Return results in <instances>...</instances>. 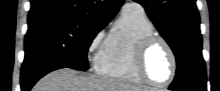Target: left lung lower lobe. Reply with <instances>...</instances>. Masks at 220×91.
I'll list each match as a JSON object with an SVG mask.
<instances>
[{"label":"left lung lower lobe","instance_id":"obj_1","mask_svg":"<svg viewBox=\"0 0 220 91\" xmlns=\"http://www.w3.org/2000/svg\"><path fill=\"white\" fill-rule=\"evenodd\" d=\"M170 90H172V89H170ZM180 91H189V90L183 89V90H180Z\"/></svg>","mask_w":220,"mask_h":91}]
</instances>
